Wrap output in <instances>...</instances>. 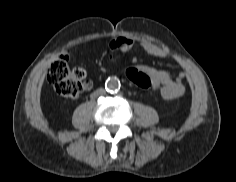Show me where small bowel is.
<instances>
[{"label": "small bowel", "mask_w": 236, "mask_h": 182, "mask_svg": "<svg viewBox=\"0 0 236 182\" xmlns=\"http://www.w3.org/2000/svg\"><path fill=\"white\" fill-rule=\"evenodd\" d=\"M134 46V40L129 37L119 36L111 41L110 50L111 52H128ZM143 50L149 55L156 56L159 58H165L168 56V50L163 48L151 41L144 40L141 42ZM70 52L65 51L62 54L63 59H69ZM138 68L148 73L152 81V88H160L161 95L166 100H173L181 97L185 93L184 79L185 74L179 73L175 79L165 70H159L154 67L147 65H140ZM93 86L92 81H84V89L90 90Z\"/></svg>", "instance_id": "obj_1"}]
</instances>
